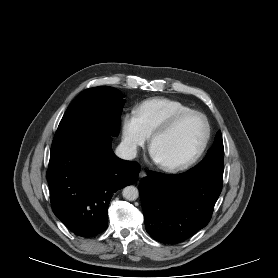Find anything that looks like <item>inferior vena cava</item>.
Instances as JSON below:
<instances>
[{
  "instance_id": "obj_1",
  "label": "inferior vena cava",
  "mask_w": 278,
  "mask_h": 278,
  "mask_svg": "<svg viewBox=\"0 0 278 278\" xmlns=\"http://www.w3.org/2000/svg\"><path fill=\"white\" fill-rule=\"evenodd\" d=\"M115 154L121 159L132 160L137 155L136 145L121 142L120 145L116 148Z\"/></svg>"
}]
</instances>
